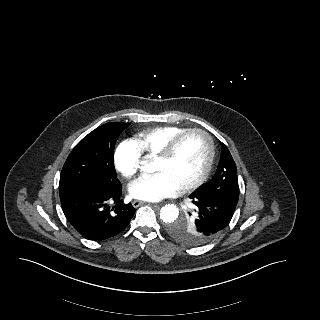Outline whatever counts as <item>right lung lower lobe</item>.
<instances>
[{
    "label": "right lung lower lobe",
    "mask_w": 320,
    "mask_h": 320,
    "mask_svg": "<svg viewBox=\"0 0 320 320\" xmlns=\"http://www.w3.org/2000/svg\"><path fill=\"white\" fill-rule=\"evenodd\" d=\"M121 184L105 190L59 191L62 210L69 223L85 238L102 241L122 232L136 209L120 200ZM115 203L111 208L110 204Z\"/></svg>",
    "instance_id": "98d812e1"
}]
</instances>
